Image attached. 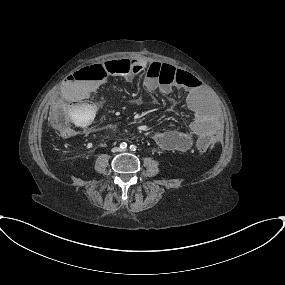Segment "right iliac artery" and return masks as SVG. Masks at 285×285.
<instances>
[{
    "label": "right iliac artery",
    "instance_id": "obj_1",
    "mask_svg": "<svg viewBox=\"0 0 285 285\" xmlns=\"http://www.w3.org/2000/svg\"><path fill=\"white\" fill-rule=\"evenodd\" d=\"M120 148L126 149V148H127V143L122 142V143L120 144Z\"/></svg>",
    "mask_w": 285,
    "mask_h": 285
}]
</instances>
